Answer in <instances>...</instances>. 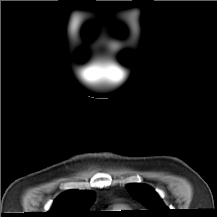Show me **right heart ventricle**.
Masks as SVG:
<instances>
[{"label":"right heart ventricle","mask_w":217,"mask_h":217,"mask_svg":"<svg viewBox=\"0 0 217 217\" xmlns=\"http://www.w3.org/2000/svg\"><path fill=\"white\" fill-rule=\"evenodd\" d=\"M126 206L124 205H113L110 207L111 212L114 214H120L121 212L125 211Z\"/></svg>","instance_id":"right-heart-ventricle-1"}]
</instances>
